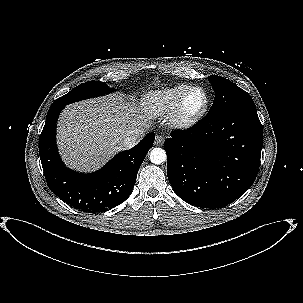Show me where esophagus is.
Wrapping results in <instances>:
<instances>
[{
    "label": "esophagus",
    "instance_id": "34e87169",
    "mask_svg": "<svg viewBox=\"0 0 303 303\" xmlns=\"http://www.w3.org/2000/svg\"><path fill=\"white\" fill-rule=\"evenodd\" d=\"M163 143H164V137L161 136V135H157V136L155 137V145H156V146H162Z\"/></svg>",
    "mask_w": 303,
    "mask_h": 303
}]
</instances>
